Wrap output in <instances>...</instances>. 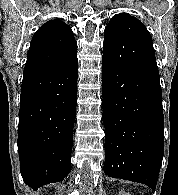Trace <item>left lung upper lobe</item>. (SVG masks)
<instances>
[{
  "instance_id": "5c2ea615",
  "label": "left lung upper lobe",
  "mask_w": 178,
  "mask_h": 195,
  "mask_svg": "<svg viewBox=\"0 0 178 195\" xmlns=\"http://www.w3.org/2000/svg\"><path fill=\"white\" fill-rule=\"evenodd\" d=\"M103 57L159 79L152 37L128 13L114 15L105 28Z\"/></svg>"
}]
</instances>
